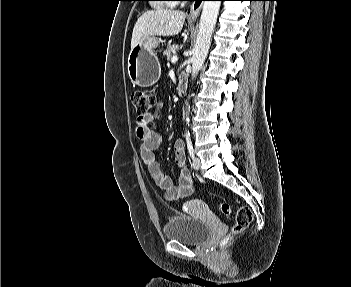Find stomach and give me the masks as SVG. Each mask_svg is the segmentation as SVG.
<instances>
[{"label": "stomach", "mask_w": 351, "mask_h": 287, "mask_svg": "<svg viewBox=\"0 0 351 287\" xmlns=\"http://www.w3.org/2000/svg\"><path fill=\"white\" fill-rule=\"evenodd\" d=\"M161 39L150 36L140 40L128 56V74L141 87L154 85L161 75V67L154 49Z\"/></svg>", "instance_id": "obj_1"}]
</instances>
